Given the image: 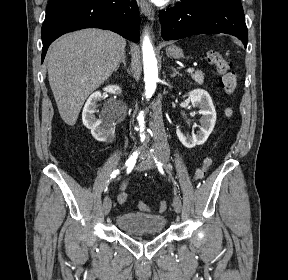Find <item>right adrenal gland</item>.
I'll list each match as a JSON object with an SVG mask.
<instances>
[{
	"label": "right adrenal gland",
	"mask_w": 288,
	"mask_h": 280,
	"mask_svg": "<svg viewBox=\"0 0 288 280\" xmlns=\"http://www.w3.org/2000/svg\"><path fill=\"white\" fill-rule=\"evenodd\" d=\"M125 59H126V54L123 53L120 62L118 63V65H117L116 68H115V72L119 69L121 63H123V65L126 67V61H125Z\"/></svg>",
	"instance_id": "obj_1"
}]
</instances>
